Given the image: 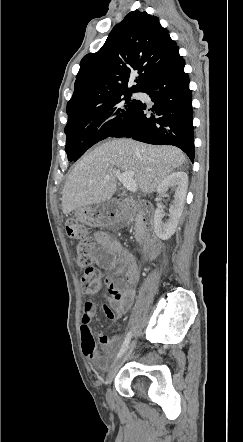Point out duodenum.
<instances>
[{
  "mask_svg": "<svg viewBox=\"0 0 243 442\" xmlns=\"http://www.w3.org/2000/svg\"><path fill=\"white\" fill-rule=\"evenodd\" d=\"M131 201H127L128 205H131ZM139 212V225L142 230L143 242L145 246L143 257L144 259H150L151 254L157 248L158 238L154 230L153 219L151 216V210L148 204L139 203L137 204Z\"/></svg>",
  "mask_w": 243,
  "mask_h": 442,
  "instance_id": "410a0bca",
  "label": "duodenum"
}]
</instances>
